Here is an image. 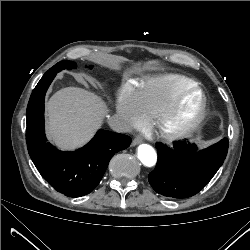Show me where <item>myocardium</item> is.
<instances>
[{"mask_svg": "<svg viewBox=\"0 0 250 250\" xmlns=\"http://www.w3.org/2000/svg\"><path fill=\"white\" fill-rule=\"evenodd\" d=\"M190 94H198L199 106L196 112L184 121H175L184 99ZM207 111V96L204 90L197 84L190 85L173 98L171 103L156 118L155 127L166 141H175L187 137L194 132L203 121Z\"/></svg>", "mask_w": 250, "mask_h": 250, "instance_id": "1", "label": "myocardium"}]
</instances>
